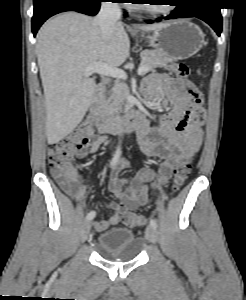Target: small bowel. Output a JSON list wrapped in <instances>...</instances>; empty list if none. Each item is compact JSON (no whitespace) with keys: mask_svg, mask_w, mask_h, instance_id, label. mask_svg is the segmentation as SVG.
Returning a JSON list of instances; mask_svg holds the SVG:
<instances>
[{"mask_svg":"<svg viewBox=\"0 0 246 300\" xmlns=\"http://www.w3.org/2000/svg\"><path fill=\"white\" fill-rule=\"evenodd\" d=\"M143 95L146 98L165 96L163 105L169 107V112L160 116L156 123L145 119L136 131L142 152L159 158L161 164L157 172L151 168H143L132 179L119 177V173L128 166L126 159L115 164L109 189L120 202L106 203L112 210V215L94 224L99 232L116 226L127 210L146 205L157 186L169 180L175 167L190 162L201 147L204 112L201 110L200 116L195 115L186 82L173 79L167 74H153L143 84ZM105 141V136L94 138L78 157L83 158L88 153L97 152ZM54 177L67 194L79 203L82 201L83 191L77 175L72 178Z\"/></svg>","mask_w":246,"mask_h":300,"instance_id":"1","label":"small bowel"}]
</instances>
